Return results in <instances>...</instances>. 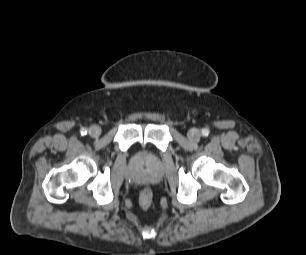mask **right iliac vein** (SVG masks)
Here are the masks:
<instances>
[{"mask_svg":"<svg viewBox=\"0 0 306 255\" xmlns=\"http://www.w3.org/2000/svg\"><path fill=\"white\" fill-rule=\"evenodd\" d=\"M101 134V128L98 125H92L89 128V135L93 138L98 137Z\"/></svg>","mask_w":306,"mask_h":255,"instance_id":"right-iliac-vein-1","label":"right iliac vein"}]
</instances>
